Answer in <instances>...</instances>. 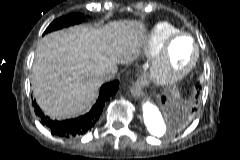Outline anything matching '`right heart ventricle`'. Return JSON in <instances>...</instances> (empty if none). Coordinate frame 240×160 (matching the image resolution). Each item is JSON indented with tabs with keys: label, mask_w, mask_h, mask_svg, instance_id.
I'll use <instances>...</instances> for the list:
<instances>
[{
	"label": "right heart ventricle",
	"mask_w": 240,
	"mask_h": 160,
	"mask_svg": "<svg viewBox=\"0 0 240 160\" xmlns=\"http://www.w3.org/2000/svg\"><path fill=\"white\" fill-rule=\"evenodd\" d=\"M178 32L179 29L169 22L156 23L142 41L141 56L145 59H152L158 54L166 40Z\"/></svg>",
	"instance_id": "obj_1"
}]
</instances>
